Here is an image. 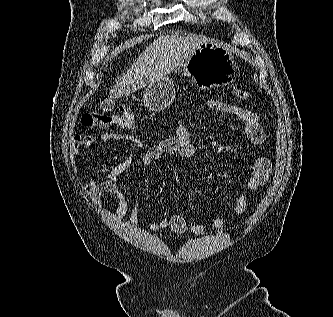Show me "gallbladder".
I'll list each match as a JSON object with an SVG mask.
<instances>
[{"instance_id": "gallbladder-1", "label": "gallbladder", "mask_w": 333, "mask_h": 317, "mask_svg": "<svg viewBox=\"0 0 333 317\" xmlns=\"http://www.w3.org/2000/svg\"><path fill=\"white\" fill-rule=\"evenodd\" d=\"M114 105H115V101L105 100L100 104V108L102 109L103 112H108L113 109Z\"/></svg>"}]
</instances>
